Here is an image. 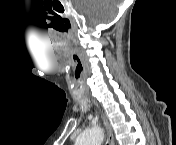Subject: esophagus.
Returning <instances> with one entry per match:
<instances>
[{
  "mask_svg": "<svg viewBox=\"0 0 176 145\" xmlns=\"http://www.w3.org/2000/svg\"><path fill=\"white\" fill-rule=\"evenodd\" d=\"M94 103L96 104V106H98L95 100H94ZM101 117H102V121L105 126V129H106L107 144L114 145V135H113L111 125L109 124L108 119L106 118L104 113L101 114Z\"/></svg>",
  "mask_w": 176,
  "mask_h": 145,
  "instance_id": "obj_1",
  "label": "esophagus"
}]
</instances>
